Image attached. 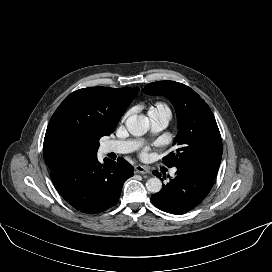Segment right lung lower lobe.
<instances>
[{
	"mask_svg": "<svg viewBox=\"0 0 272 272\" xmlns=\"http://www.w3.org/2000/svg\"><path fill=\"white\" fill-rule=\"evenodd\" d=\"M133 176V167L125 159H106L97 155L83 162L51 170L59 194L75 209L95 214L116 205L124 182Z\"/></svg>",
	"mask_w": 272,
	"mask_h": 272,
	"instance_id": "right-lung-lower-lobe-1",
	"label": "right lung lower lobe"
}]
</instances>
